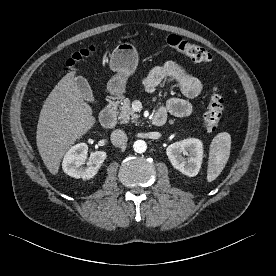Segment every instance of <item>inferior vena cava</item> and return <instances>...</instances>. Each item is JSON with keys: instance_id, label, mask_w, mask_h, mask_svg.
Masks as SVG:
<instances>
[{"instance_id": "obj_1", "label": "inferior vena cava", "mask_w": 276, "mask_h": 276, "mask_svg": "<svg viewBox=\"0 0 276 276\" xmlns=\"http://www.w3.org/2000/svg\"><path fill=\"white\" fill-rule=\"evenodd\" d=\"M127 135L123 130L116 129L111 133V142L114 146L123 147L127 143Z\"/></svg>"}]
</instances>
